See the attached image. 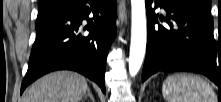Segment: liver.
I'll use <instances>...</instances> for the list:
<instances>
[{
    "instance_id": "6515ba94",
    "label": "liver",
    "mask_w": 221,
    "mask_h": 102,
    "mask_svg": "<svg viewBox=\"0 0 221 102\" xmlns=\"http://www.w3.org/2000/svg\"><path fill=\"white\" fill-rule=\"evenodd\" d=\"M88 89L83 76L58 71L33 83L23 94L22 102H80Z\"/></svg>"
}]
</instances>
